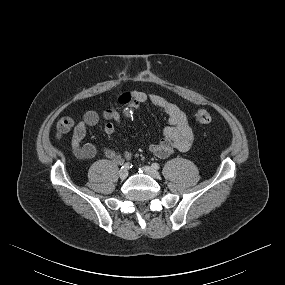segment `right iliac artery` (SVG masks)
<instances>
[{"label": "right iliac artery", "mask_w": 285, "mask_h": 285, "mask_svg": "<svg viewBox=\"0 0 285 285\" xmlns=\"http://www.w3.org/2000/svg\"><path fill=\"white\" fill-rule=\"evenodd\" d=\"M131 167H132L131 163H125L121 168L128 170V169H130Z\"/></svg>", "instance_id": "right-iliac-artery-1"}]
</instances>
